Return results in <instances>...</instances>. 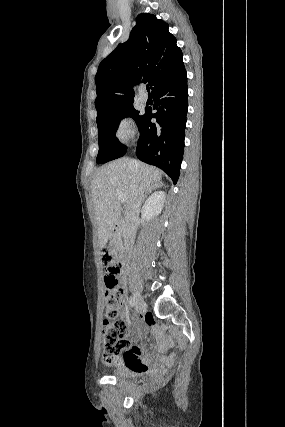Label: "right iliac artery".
Instances as JSON below:
<instances>
[{
  "label": "right iliac artery",
  "mask_w": 285,
  "mask_h": 427,
  "mask_svg": "<svg viewBox=\"0 0 285 427\" xmlns=\"http://www.w3.org/2000/svg\"><path fill=\"white\" fill-rule=\"evenodd\" d=\"M129 305L131 308L135 307V299L134 298H132V297L129 298Z\"/></svg>",
  "instance_id": "right-iliac-artery-1"
}]
</instances>
